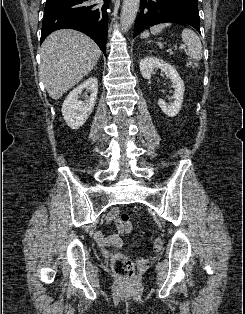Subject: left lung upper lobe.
I'll use <instances>...</instances> for the list:
<instances>
[{
  "label": "left lung upper lobe",
  "instance_id": "left-lung-upper-lobe-1",
  "mask_svg": "<svg viewBox=\"0 0 245 314\" xmlns=\"http://www.w3.org/2000/svg\"><path fill=\"white\" fill-rule=\"evenodd\" d=\"M175 1L188 2L190 4L197 6V0H175Z\"/></svg>",
  "mask_w": 245,
  "mask_h": 314
}]
</instances>
